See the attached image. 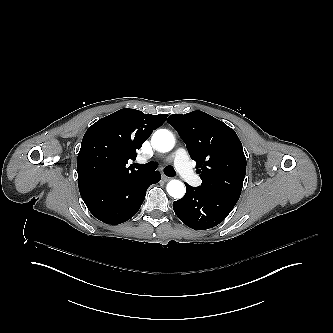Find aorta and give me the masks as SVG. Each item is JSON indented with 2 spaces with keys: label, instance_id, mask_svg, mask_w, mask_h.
<instances>
[{
  "label": "aorta",
  "instance_id": "762f6f07",
  "mask_svg": "<svg viewBox=\"0 0 333 333\" xmlns=\"http://www.w3.org/2000/svg\"><path fill=\"white\" fill-rule=\"evenodd\" d=\"M152 144L160 152H168L173 149L175 140L171 132L166 129L157 130L152 136ZM166 190L174 198H182L185 186L179 180H171L167 183Z\"/></svg>",
  "mask_w": 333,
  "mask_h": 333
}]
</instances>
